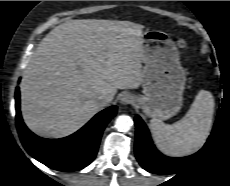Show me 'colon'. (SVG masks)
Here are the masks:
<instances>
[{
  "label": "colon",
  "instance_id": "1",
  "mask_svg": "<svg viewBox=\"0 0 230 186\" xmlns=\"http://www.w3.org/2000/svg\"><path fill=\"white\" fill-rule=\"evenodd\" d=\"M180 45H181V47H185V43L184 42H180Z\"/></svg>",
  "mask_w": 230,
  "mask_h": 186
}]
</instances>
